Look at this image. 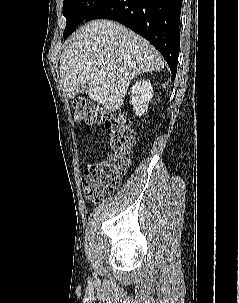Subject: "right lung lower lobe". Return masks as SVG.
<instances>
[{"mask_svg": "<svg viewBox=\"0 0 239 303\" xmlns=\"http://www.w3.org/2000/svg\"><path fill=\"white\" fill-rule=\"evenodd\" d=\"M180 12L181 0H106L85 22L115 20L143 36L165 58L174 80L180 50Z\"/></svg>", "mask_w": 239, "mask_h": 303, "instance_id": "98d812e1", "label": "right lung lower lobe"}]
</instances>
